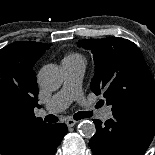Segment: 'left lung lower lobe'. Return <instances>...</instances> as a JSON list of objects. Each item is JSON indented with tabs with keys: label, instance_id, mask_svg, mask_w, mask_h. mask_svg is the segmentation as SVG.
Segmentation results:
<instances>
[{
	"label": "left lung lower lobe",
	"instance_id": "0a47b994",
	"mask_svg": "<svg viewBox=\"0 0 155 155\" xmlns=\"http://www.w3.org/2000/svg\"><path fill=\"white\" fill-rule=\"evenodd\" d=\"M93 121L96 133L89 146L94 155H143L155 134V110L123 111L105 123Z\"/></svg>",
	"mask_w": 155,
	"mask_h": 155
}]
</instances>
